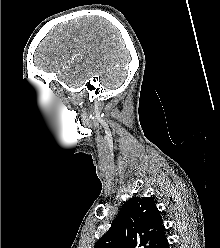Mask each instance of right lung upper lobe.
I'll return each mask as SVG.
<instances>
[{"label":"right lung upper lobe","mask_w":220,"mask_h":248,"mask_svg":"<svg viewBox=\"0 0 220 248\" xmlns=\"http://www.w3.org/2000/svg\"><path fill=\"white\" fill-rule=\"evenodd\" d=\"M160 211L151 197H133L94 248H157L165 239Z\"/></svg>","instance_id":"obj_1"}]
</instances>
